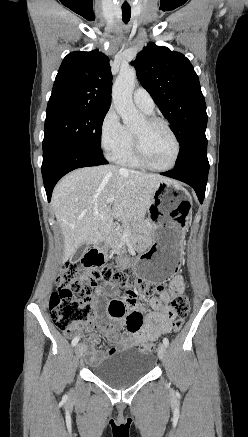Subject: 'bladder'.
Listing matches in <instances>:
<instances>
[{"label":"bladder","mask_w":248,"mask_h":437,"mask_svg":"<svg viewBox=\"0 0 248 437\" xmlns=\"http://www.w3.org/2000/svg\"><path fill=\"white\" fill-rule=\"evenodd\" d=\"M154 361L150 353L128 349L106 358L93 369V374L109 386L122 389L144 378Z\"/></svg>","instance_id":"31cf9c89"}]
</instances>
